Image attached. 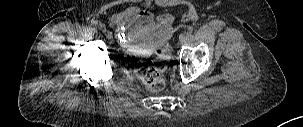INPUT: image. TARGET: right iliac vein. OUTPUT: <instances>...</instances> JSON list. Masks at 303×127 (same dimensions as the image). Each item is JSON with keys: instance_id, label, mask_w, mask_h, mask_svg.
I'll list each match as a JSON object with an SVG mask.
<instances>
[{"instance_id": "1", "label": "right iliac vein", "mask_w": 303, "mask_h": 127, "mask_svg": "<svg viewBox=\"0 0 303 127\" xmlns=\"http://www.w3.org/2000/svg\"><path fill=\"white\" fill-rule=\"evenodd\" d=\"M104 34H105V36H106L108 39H111V38H112V33H111L110 31L105 30V31H104Z\"/></svg>"}]
</instances>
